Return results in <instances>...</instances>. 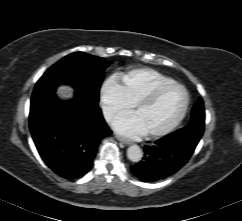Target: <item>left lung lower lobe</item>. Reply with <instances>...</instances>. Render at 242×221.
Instances as JSON below:
<instances>
[{
    "instance_id": "obj_1",
    "label": "left lung lower lobe",
    "mask_w": 242,
    "mask_h": 221,
    "mask_svg": "<svg viewBox=\"0 0 242 221\" xmlns=\"http://www.w3.org/2000/svg\"><path fill=\"white\" fill-rule=\"evenodd\" d=\"M202 132L188 128L179 129L145 146V154L131 172L143 182H154L166 178L183 167L193 154Z\"/></svg>"
}]
</instances>
